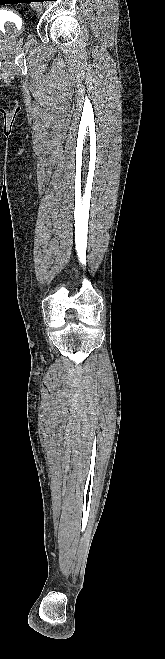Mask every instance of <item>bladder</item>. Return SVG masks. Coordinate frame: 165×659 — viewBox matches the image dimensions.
I'll list each match as a JSON object with an SVG mask.
<instances>
[{
    "label": "bladder",
    "mask_w": 165,
    "mask_h": 659,
    "mask_svg": "<svg viewBox=\"0 0 165 659\" xmlns=\"http://www.w3.org/2000/svg\"><path fill=\"white\" fill-rule=\"evenodd\" d=\"M10 28H11V31L7 30L5 28V36L8 37V38H20L26 32L25 28L20 27L17 22H12ZM2 35H4V34H3V32L0 31V36H2Z\"/></svg>",
    "instance_id": "obj_1"
}]
</instances>
